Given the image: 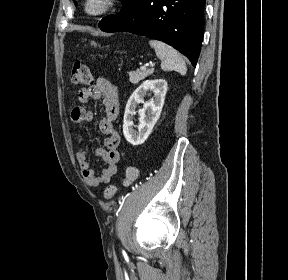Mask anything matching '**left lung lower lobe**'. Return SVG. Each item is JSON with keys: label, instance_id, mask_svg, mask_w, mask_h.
I'll return each mask as SVG.
<instances>
[{"label": "left lung lower lobe", "instance_id": "obj_1", "mask_svg": "<svg viewBox=\"0 0 288 280\" xmlns=\"http://www.w3.org/2000/svg\"><path fill=\"white\" fill-rule=\"evenodd\" d=\"M205 0H134L116 15L103 18L105 32H130L163 41L195 67L204 34Z\"/></svg>", "mask_w": 288, "mask_h": 280}]
</instances>
